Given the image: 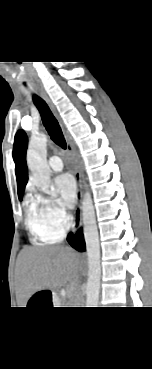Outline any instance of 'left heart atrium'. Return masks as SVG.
Masks as SVG:
<instances>
[{
    "mask_svg": "<svg viewBox=\"0 0 152 369\" xmlns=\"http://www.w3.org/2000/svg\"><path fill=\"white\" fill-rule=\"evenodd\" d=\"M54 186L60 196L61 204L66 208H72L76 197L74 178L68 173L61 174L55 178Z\"/></svg>",
    "mask_w": 152,
    "mask_h": 369,
    "instance_id": "39dd6f15",
    "label": "left heart atrium"
}]
</instances>
